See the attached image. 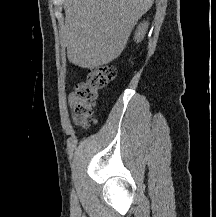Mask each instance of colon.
Masks as SVG:
<instances>
[{
  "instance_id": "1",
  "label": "colon",
  "mask_w": 216,
  "mask_h": 217,
  "mask_svg": "<svg viewBox=\"0 0 216 217\" xmlns=\"http://www.w3.org/2000/svg\"><path fill=\"white\" fill-rule=\"evenodd\" d=\"M115 75L116 69L112 65H103L88 70L86 80L79 82L71 95L75 124L84 127L89 125L99 92L115 78Z\"/></svg>"
}]
</instances>
